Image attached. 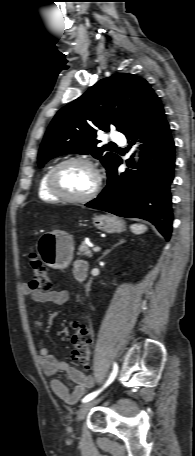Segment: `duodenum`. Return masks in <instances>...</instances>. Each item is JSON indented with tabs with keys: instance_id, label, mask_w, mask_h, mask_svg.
<instances>
[{
	"instance_id": "duodenum-1",
	"label": "duodenum",
	"mask_w": 195,
	"mask_h": 456,
	"mask_svg": "<svg viewBox=\"0 0 195 456\" xmlns=\"http://www.w3.org/2000/svg\"><path fill=\"white\" fill-rule=\"evenodd\" d=\"M87 269H88V265H87L86 262H84V263L78 268V271H77V277H78V279L84 280V279L86 278Z\"/></svg>"
}]
</instances>
